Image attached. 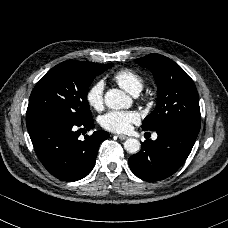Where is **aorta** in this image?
<instances>
[{
    "label": "aorta",
    "instance_id": "1",
    "mask_svg": "<svg viewBox=\"0 0 228 228\" xmlns=\"http://www.w3.org/2000/svg\"><path fill=\"white\" fill-rule=\"evenodd\" d=\"M105 103L114 110L129 109L133 105V99L122 90L110 89L105 95ZM140 147V141L135 138H129L124 142L125 150L131 154L137 153Z\"/></svg>",
    "mask_w": 228,
    "mask_h": 228
}]
</instances>
